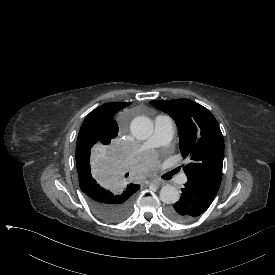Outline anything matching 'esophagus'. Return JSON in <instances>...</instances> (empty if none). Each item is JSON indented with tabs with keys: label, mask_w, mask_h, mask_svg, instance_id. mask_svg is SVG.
Returning <instances> with one entry per match:
<instances>
[{
	"label": "esophagus",
	"mask_w": 275,
	"mask_h": 275,
	"mask_svg": "<svg viewBox=\"0 0 275 275\" xmlns=\"http://www.w3.org/2000/svg\"><path fill=\"white\" fill-rule=\"evenodd\" d=\"M150 183L154 186H161L162 185V181L159 180V179H153V180H151Z\"/></svg>",
	"instance_id": "esophagus-1"
}]
</instances>
